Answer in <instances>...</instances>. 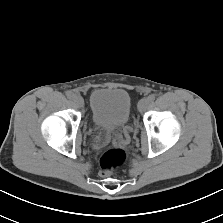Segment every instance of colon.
<instances>
[{
    "instance_id": "5ec220e1",
    "label": "colon",
    "mask_w": 223,
    "mask_h": 223,
    "mask_svg": "<svg viewBox=\"0 0 223 223\" xmlns=\"http://www.w3.org/2000/svg\"><path fill=\"white\" fill-rule=\"evenodd\" d=\"M126 159L127 155L122 149L111 148L105 151L99 159V168L101 174H111L115 169L123 166L126 162Z\"/></svg>"
}]
</instances>
